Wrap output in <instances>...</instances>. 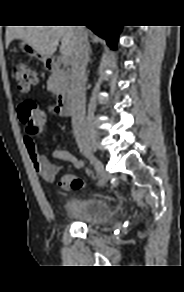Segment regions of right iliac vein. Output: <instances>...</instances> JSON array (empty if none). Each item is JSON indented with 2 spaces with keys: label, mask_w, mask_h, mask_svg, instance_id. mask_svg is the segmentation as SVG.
<instances>
[{
  "label": "right iliac vein",
  "mask_w": 184,
  "mask_h": 292,
  "mask_svg": "<svg viewBox=\"0 0 184 292\" xmlns=\"http://www.w3.org/2000/svg\"><path fill=\"white\" fill-rule=\"evenodd\" d=\"M87 158L94 165L95 170L97 171V173L99 175V178H100L99 185H104L107 182V180L109 179V174L104 169L102 162L98 158L93 156L92 154H88Z\"/></svg>",
  "instance_id": "right-iliac-vein-1"
}]
</instances>
